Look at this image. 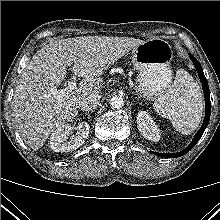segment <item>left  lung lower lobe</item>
Listing matches in <instances>:
<instances>
[{"mask_svg":"<svg viewBox=\"0 0 220 220\" xmlns=\"http://www.w3.org/2000/svg\"><path fill=\"white\" fill-rule=\"evenodd\" d=\"M190 58L196 66L200 81L202 83V89H203V92H204L205 106H206V114H205L204 122H203L201 128L199 129V131L197 132V134L195 135L193 141L190 143V145L187 148H185L184 150H182L181 152L169 153V154L153 152L155 155H158V156H161V157L177 158V157L185 155L200 140V138L202 137V135H203L208 123H209L210 114H211V102H210L209 86H208L207 80L204 76V73H203V70H202V67H201L200 63L191 54H190Z\"/></svg>","mask_w":220,"mask_h":220,"instance_id":"obj_1","label":"left lung lower lobe"}]
</instances>
